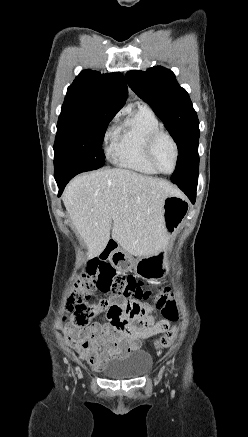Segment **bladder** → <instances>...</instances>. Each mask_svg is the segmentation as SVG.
Here are the masks:
<instances>
[{
	"label": "bladder",
	"mask_w": 248,
	"mask_h": 437,
	"mask_svg": "<svg viewBox=\"0 0 248 437\" xmlns=\"http://www.w3.org/2000/svg\"><path fill=\"white\" fill-rule=\"evenodd\" d=\"M151 363V356L143 351L115 362L106 370V375L111 379H134L141 376L146 367Z\"/></svg>",
	"instance_id": "obj_1"
}]
</instances>
